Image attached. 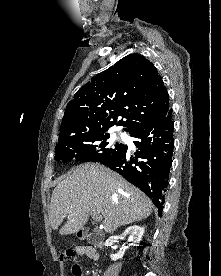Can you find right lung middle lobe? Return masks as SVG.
<instances>
[{
	"instance_id": "1",
	"label": "right lung middle lobe",
	"mask_w": 221,
	"mask_h": 276,
	"mask_svg": "<svg viewBox=\"0 0 221 276\" xmlns=\"http://www.w3.org/2000/svg\"><path fill=\"white\" fill-rule=\"evenodd\" d=\"M109 137L103 131L59 142L55 147V160L64 163L71 160L104 163L127 148V145L107 142Z\"/></svg>"
}]
</instances>
